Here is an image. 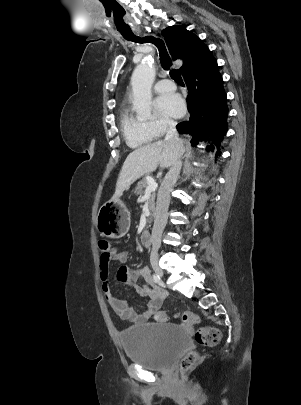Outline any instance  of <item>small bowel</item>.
I'll return each mask as SVG.
<instances>
[{
  "label": "small bowel",
  "instance_id": "1",
  "mask_svg": "<svg viewBox=\"0 0 301 405\" xmlns=\"http://www.w3.org/2000/svg\"><path fill=\"white\" fill-rule=\"evenodd\" d=\"M127 260L128 253L117 249H110L107 257L101 255L100 279L102 282V293L108 305L121 319L132 323L145 322L154 316L160 308L166 297V292L153 284L150 270L147 266L130 268L126 265ZM112 261L120 265L116 273L117 280L128 285L138 296L145 299V308L141 312H136L129 307L125 300L113 295L108 281L109 265ZM141 278L145 280V285L139 283Z\"/></svg>",
  "mask_w": 301,
  "mask_h": 405
}]
</instances>
